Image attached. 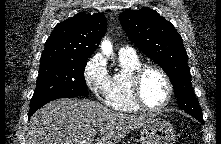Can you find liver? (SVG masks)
Returning <instances> with one entry per match:
<instances>
[{"label": "liver", "mask_w": 221, "mask_h": 144, "mask_svg": "<svg viewBox=\"0 0 221 144\" xmlns=\"http://www.w3.org/2000/svg\"><path fill=\"white\" fill-rule=\"evenodd\" d=\"M152 116L108 109L88 99H58L37 110L25 133L26 144H117L130 131L146 125Z\"/></svg>", "instance_id": "obj_1"}]
</instances>
